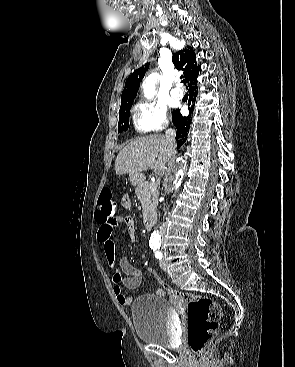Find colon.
Segmentation results:
<instances>
[{
    "label": "colon",
    "mask_w": 295,
    "mask_h": 367,
    "mask_svg": "<svg viewBox=\"0 0 295 367\" xmlns=\"http://www.w3.org/2000/svg\"><path fill=\"white\" fill-rule=\"evenodd\" d=\"M116 212L117 204L112 198L111 190L108 188L103 189L99 197L97 221H112L116 217ZM150 273L161 286L162 292L187 300L188 346L194 353L202 355L207 343L217 333L220 321L219 304L206 295L182 293L173 290L155 270L150 269Z\"/></svg>",
    "instance_id": "obj_1"
}]
</instances>
